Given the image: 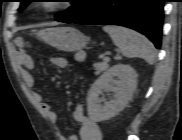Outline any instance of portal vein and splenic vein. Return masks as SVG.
Instances as JSON below:
<instances>
[{
	"label": "portal vein and splenic vein",
	"instance_id": "obj_1",
	"mask_svg": "<svg viewBox=\"0 0 182 140\" xmlns=\"http://www.w3.org/2000/svg\"><path fill=\"white\" fill-rule=\"evenodd\" d=\"M103 61L104 62H109L110 61V58L109 57H103Z\"/></svg>",
	"mask_w": 182,
	"mask_h": 140
}]
</instances>
